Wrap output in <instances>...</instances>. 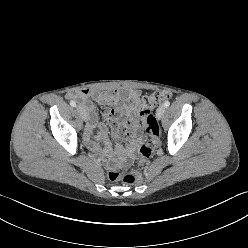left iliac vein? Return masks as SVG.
<instances>
[{"instance_id": "1", "label": "left iliac vein", "mask_w": 248, "mask_h": 248, "mask_svg": "<svg viewBox=\"0 0 248 248\" xmlns=\"http://www.w3.org/2000/svg\"><path fill=\"white\" fill-rule=\"evenodd\" d=\"M166 107L164 105H160L156 110V117L160 120L164 113H165Z\"/></svg>"}]
</instances>
